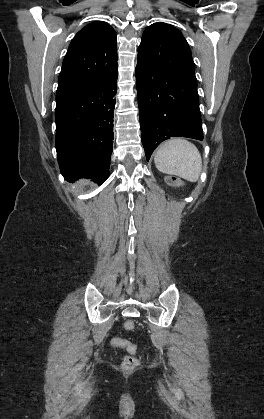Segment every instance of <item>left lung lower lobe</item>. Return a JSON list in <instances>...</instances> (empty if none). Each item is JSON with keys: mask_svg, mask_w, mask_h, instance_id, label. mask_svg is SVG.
I'll list each match as a JSON object with an SVG mask.
<instances>
[{"mask_svg": "<svg viewBox=\"0 0 264 419\" xmlns=\"http://www.w3.org/2000/svg\"><path fill=\"white\" fill-rule=\"evenodd\" d=\"M136 87L141 139L149 160L170 137L203 140L196 77L171 58L167 42H142L138 48Z\"/></svg>", "mask_w": 264, "mask_h": 419, "instance_id": "1", "label": "left lung lower lobe"}]
</instances>
